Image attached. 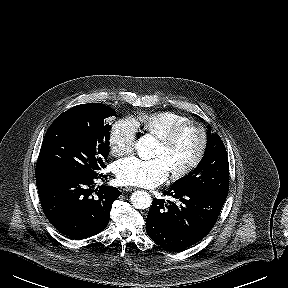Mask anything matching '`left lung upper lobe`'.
Masks as SVG:
<instances>
[{
    "label": "left lung upper lobe",
    "instance_id": "left-lung-upper-lobe-1",
    "mask_svg": "<svg viewBox=\"0 0 288 288\" xmlns=\"http://www.w3.org/2000/svg\"><path fill=\"white\" fill-rule=\"evenodd\" d=\"M172 187L199 190L227 198L229 162L225 146L217 134H211L208 130L207 148L202 160L196 169L174 182Z\"/></svg>",
    "mask_w": 288,
    "mask_h": 288
}]
</instances>
